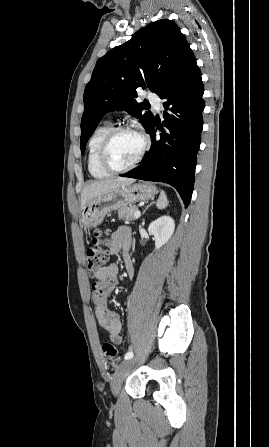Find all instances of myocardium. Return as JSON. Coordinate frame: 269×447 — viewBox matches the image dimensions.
Listing matches in <instances>:
<instances>
[{
  "instance_id": "myocardium-1",
  "label": "myocardium",
  "mask_w": 269,
  "mask_h": 447,
  "mask_svg": "<svg viewBox=\"0 0 269 447\" xmlns=\"http://www.w3.org/2000/svg\"><path fill=\"white\" fill-rule=\"evenodd\" d=\"M126 130H136L139 133H141V135L143 136V139H144V145H143L142 150L138 154L137 158L131 164L124 166V167H117L112 164V162L110 161V158H109L110 145H111L114 137L118 133H120L122 131H126ZM150 147H151V138H150L149 134L142 127L133 125V124L120 125V126L112 128L109 131V133L106 135V137L104 138L103 143L101 145V151H100V163L109 172H112V173L125 172V171L131 170L135 166H137L142 161V159L145 157V155L149 151Z\"/></svg>"
}]
</instances>
